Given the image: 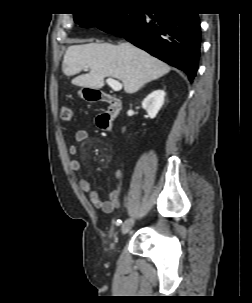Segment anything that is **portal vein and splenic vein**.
<instances>
[{
    "label": "portal vein and splenic vein",
    "instance_id": "portal-vein-and-splenic-vein-1",
    "mask_svg": "<svg viewBox=\"0 0 252 303\" xmlns=\"http://www.w3.org/2000/svg\"><path fill=\"white\" fill-rule=\"evenodd\" d=\"M106 82L115 92H118L122 89V84L113 78H108Z\"/></svg>",
    "mask_w": 252,
    "mask_h": 303
}]
</instances>
